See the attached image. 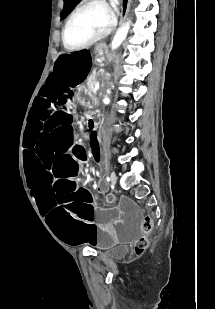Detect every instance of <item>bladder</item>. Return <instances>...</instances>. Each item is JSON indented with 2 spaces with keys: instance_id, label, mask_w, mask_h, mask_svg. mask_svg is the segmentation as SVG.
Segmentation results:
<instances>
[{
  "instance_id": "obj_1",
  "label": "bladder",
  "mask_w": 215,
  "mask_h": 309,
  "mask_svg": "<svg viewBox=\"0 0 215 309\" xmlns=\"http://www.w3.org/2000/svg\"><path fill=\"white\" fill-rule=\"evenodd\" d=\"M125 253H126V250L124 248H116V249L111 250L108 253V255L111 258H120V257L124 256Z\"/></svg>"
}]
</instances>
